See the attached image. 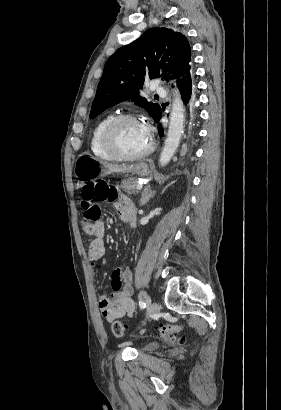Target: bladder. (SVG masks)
I'll return each instance as SVG.
<instances>
[{
  "label": "bladder",
  "mask_w": 281,
  "mask_h": 410,
  "mask_svg": "<svg viewBox=\"0 0 281 410\" xmlns=\"http://www.w3.org/2000/svg\"><path fill=\"white\" fill-rule=\"evenodd\" d=\"M160 347V344L157 342H150L145 346V349L148 351L155 350Z\"/></svg>",
  "instance_id": "1"
}]
</instances>
